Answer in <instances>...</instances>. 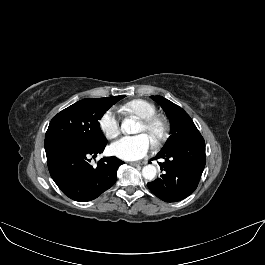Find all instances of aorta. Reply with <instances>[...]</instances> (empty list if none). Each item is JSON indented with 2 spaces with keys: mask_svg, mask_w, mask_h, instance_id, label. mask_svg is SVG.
<instances>
[{
  "mask_svg": "<svg viewBox=\"0 0 265 265\" xmlns=\"http://www.w3.org/2000/svg\"><path fill=\"white\" fill-rule=\"evenodd\" d=\"M121 129L126 134H136L139 132L140 125L133 118H125L121 125ZM157 169L153 165H146L142 169V175L147 180H153L156 177Z\"/></svg>",
  "mask_w": 265,
  "mask_h": 265,
  "instance_id": "762f6f07",
  "label": "aorta"
}]
</instances>
